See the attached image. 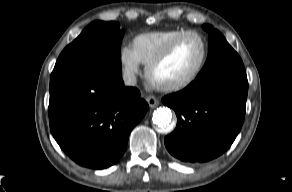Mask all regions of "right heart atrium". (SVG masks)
Returning <instances> with one entry per match:
<instances>
[{
	"label": "right heart atrium",
	"mask_w": 292,
	"mask_h": 192,
	"mask_svg": "<svg viewBox=\"0 0 292 192\" xmlns=\"http://www.w3.org/2000/svg\"><path fill=\"white\" fill-rule=\"evenodd\" d=\"M119 62L122 67V74L124 78L132 83L140 72L141 62L138 59L133 47L123 45L119 49Z\"/></svg>",
	"instance_id": "d8ad5b80"
}]
</instances>
